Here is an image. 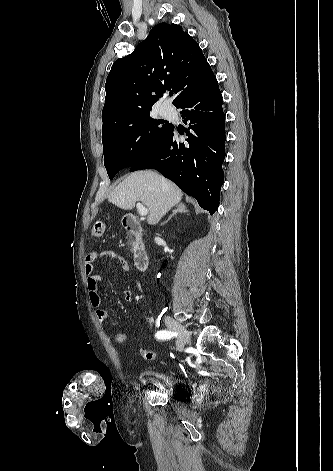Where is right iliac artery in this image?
<instances>
[{
    "label": "right iliac artery",
    "instance_id": "obj_1",
    "mask_svg": "<svg viewBox=\"0 0 333 471\" xmlns=\"http://www.w3.org/2000/svg\"><path fill=\"white\" fill-rule=\"evenodd\" d=\"M174 336V332L170 330H160L155 334L157 339L168 340Z\"/></svg>",
    "mask_w": 333,
    "mask_h": 471
}]
</instances>
